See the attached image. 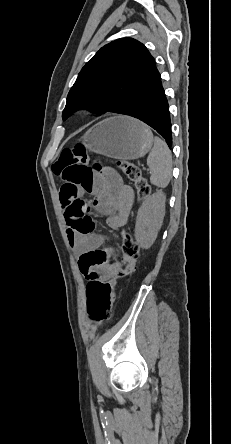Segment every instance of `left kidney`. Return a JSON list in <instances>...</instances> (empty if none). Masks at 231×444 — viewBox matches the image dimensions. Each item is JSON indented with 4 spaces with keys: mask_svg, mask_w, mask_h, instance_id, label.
Masks as SVG:
<instances>
[{
    "mask_svg": "<svg viewBox=\"0 0 231 444\" xmlns=\"http://www.w3.org/2000/svg\"><path fill=\"white\" fill-rule=\"evenodd\" d=\"M165 200V194L157 191L147 198L138 210L135 239L143 249L150 248L157 238L165 215Z\"/></svg>",
    "mask_w": 231,
    "mask_h": 444,
    "instance_id": "5707ae66",
    "label": "left kidney"
}]
</instances>
